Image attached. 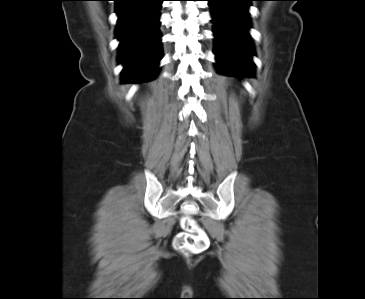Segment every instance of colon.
I'll return each instance as SVG.
<instances>
[{"mask_svg": "<svg viewBox=\"0 0 365 299\" xmlns=\"http://www.w3.org/2000/svg\"><path fill=\"white\" fill-rule=\"evenodd\" d=\"M181 226L183 232L174 240L177 250L185 253H200L207 249L210 239L195 219L186 215L181 219Z\"/></svg>", "mask_w": 365, "mask_h": 299, "instance_id": "colon-1", "label": "colon"}]
</instances>
